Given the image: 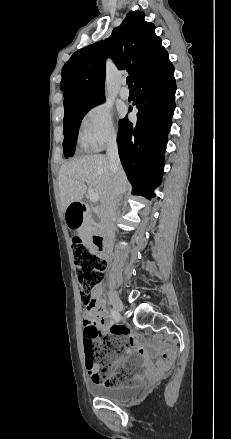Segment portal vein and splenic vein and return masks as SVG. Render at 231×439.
<instances>
[{
  "mask_svg": "<svg viewBox=\"0 0 231 439\" xmlns=\"http://www.w3.org/2000/svg\"><path fill=\"white\" fill-rule=\"evenodd\" d=\"M88 196L91 202H98L99 200V194L94 192V190L90 187L88 189Z\"/></svg>",
  "mask_w": 231,
  "mask_h": 439,
  "instance_id": "obj_1",
  "label": "portal vein and splenic vein"
}]
</instances>
